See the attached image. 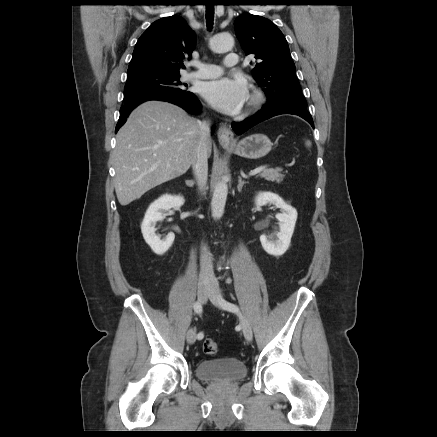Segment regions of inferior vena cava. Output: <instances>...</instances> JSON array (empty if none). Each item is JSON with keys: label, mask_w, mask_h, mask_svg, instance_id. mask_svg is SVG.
<instances>
[{"label": "inferior vena cava", "mask_w": 437, "mask_h": 437, "mask_svg": "<svg viewBox=\"0 0 437 437\" xmlns=\"http://www.w3.org/2000/svg\"><path fill=\"white\" fill-rule=\"evenodd\" d=\"M200 139L196 150L192 168L200 190H203L207 183L208 175V148L210 143V126L206 122H199ZM200 282L215 281L212 260L206 247L201 250L200 256Z\"/></svg>", "instance_id": "602c4592"}]
</instances>
